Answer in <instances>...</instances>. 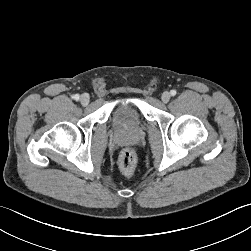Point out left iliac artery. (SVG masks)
<instances>
[{"label":"left iliac artery","instance_id":"44dca946","mask_svg":"<svg viewBox=\"0 0 251 251\" xmlns=\"http://www.w3.org/2000/svg\"><path fill=\"white\" fill-rule=\"evenodd\" d=\"M170 93L172 96H175L177 92H176V90H171Z\"/></svg>","mask_w":251,"mask_h":251}]
</instances>
